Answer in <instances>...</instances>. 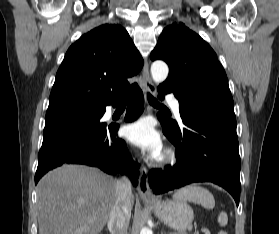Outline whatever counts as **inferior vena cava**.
Segmentation results:
<instances>
[{
    "instance_id": "obj_1",
    "label": "inferior vena cava",
    "mask_w": 279,
    "mask_h": 234,
    "mask_svg": "<svg viewBox=\"0 0 279 234\" xmlns=\"http://www.w3.org/2000/svg\"><path fill=\"white\" fill-rule=\"evenodd\" d=\"M132 184L128 178L116 181V199L107 222L111 234H127L131 217Z\"/></svg>"
}]
</instances>
